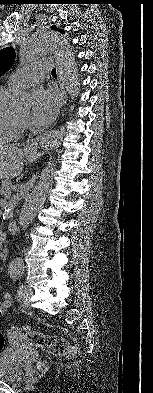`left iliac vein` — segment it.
I'll return each instance as SVG.
<instances>
[{"mask_svg": "<svg viewBox=\"0 0 153 393\" xmlns=\"http://www.w3.org/2000/svg\"><path fill=\"white\" fill-rule=\"evenodd\" d=\"M32 294V289L30 286H25L22 295L20 296L22 298L23 305L25 307L30 306V296Z\"/></svg>", "mask_w": 153, "mask_h": 393, "instance_id": "left-iliac-vein-1", "label": "left iliac vein"}]
</instances>
